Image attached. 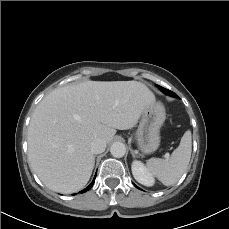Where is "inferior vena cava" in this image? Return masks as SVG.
Instances as JSON below:
<instances>
[{"mask_svg":"<svg viewBox=\"0 0 229 229\" xmlns=\"http://www.w3.org/2000/svg\"><path fill=\"white\" fill-rule=\"evenodd\" d=\"M106 149V141L102 138H96L91 143V151L94 154H100Z\"/></svg>","mask_w":229,"mask_h":229,"instance_id":"1","label":"inferior vena cava"}]
</instances>
